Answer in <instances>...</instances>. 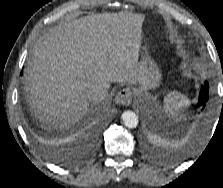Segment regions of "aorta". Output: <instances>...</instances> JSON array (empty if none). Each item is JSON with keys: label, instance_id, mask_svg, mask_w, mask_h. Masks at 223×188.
<instances>
[{"label": "aorta", "instance_id": "aorta-1", "mask_svg": "<svg viewBox=\"0 0 223 188\" xmlns=\"http://www.w3.org/2000/svg\"><path fill=\"white\" fill-rule=\"evenodd\" d=\"M127 128L133 129L138 125V116L132 111H125L121 116Z\"/></svg>", "mask_w": 223, "mask_h": 188}]
</instances>
